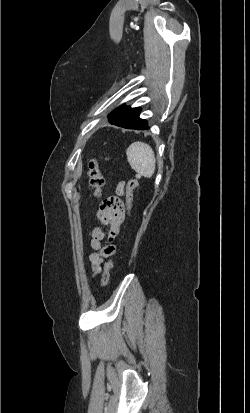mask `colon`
<instances>
[{"instance_id": "colon-1", "label": "colon", "mask_w": 250, "mask_h": 413, "mask_svg": "<svg viewBox=\"0 0 250 413\" xmlns=\"http://www.w3.org/2000/svg\"><path fill=\"white\" fill-rule=\"evenodd\" d=\"M101 159H107V158H93L89 161L88 164V176H89V183L90 186L94 189L95 195H98L101 191V188L104 184V179L100 173L99 170V161ZM139 180L138 179H131L127 183L126 186V210L129 215L131 206H132V201H133V195L135 189L139 187ZM113 268V261L112 259H109L105 262L104 267H103V272H102V278H101V285L102 287L107 286L110 280V272Z\"/></svg>"}]
</instances>
